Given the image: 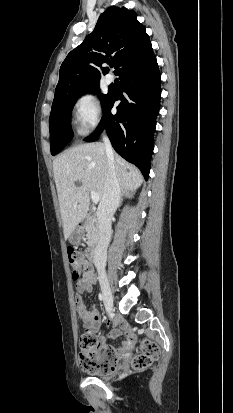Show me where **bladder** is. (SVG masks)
Returning <instances> with one entry per match:
<instances>
[{
	"label": "bladder",
	"instance_id": "bladder-1",
	"mask_svg": "<svg viewBox=\"0 0 233 413\" xmlns=\"http://www.w3.org/2000/svg\"><path fill=\"white\" fill-rule=\"evenodd\" d=\"M111 374H112L111 372H108V373H105V374H96L95 376L100 377V378H106V377L110 376Z\"/></svg>",
	"mask_w": 233,
	"mask_h": 413
}]
</instances>
